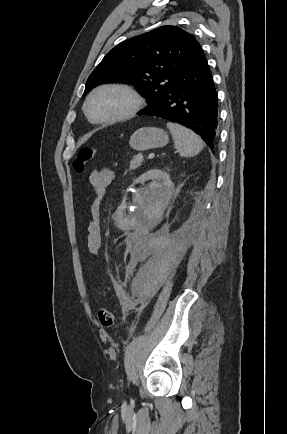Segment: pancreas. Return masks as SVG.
<instances>
[{
  "instance_id": "cf45deb5",
  "label": "pancreas",
  "mask_w": 287,
  "mask_h": 434,
  "mask_svg": "<svg viewBox=\"0 0 287 434\" xmlns=\"http://www.w3.org/2000/svg\"><path fill=\"white\" fill-rule=\"evenodd\" d=\"M143 161H144V159H143V156L141 154L135 155L130 162V169H132V170L137 169L138 167H140L142 165Z\"/></svg>"
}]
</instances>
